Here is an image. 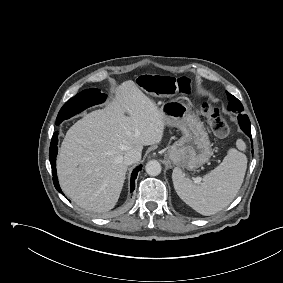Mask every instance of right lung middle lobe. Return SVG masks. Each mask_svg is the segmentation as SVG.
<instances>
[{"instance_id": "obj_1", "label": "right lung middle lobe", "mask_w": 283, "mask_h": 283, "mask_svg": "<svg viewBox=\"0 0 283 283\" xmlns=\"http://www.w3.org/2000/svg\"><path fill=\"white\" fill-rule=\"evenodd\" d=\"M105 99L106 95L100 93V90L96 88L87 89L78 93L61 108L56 119V124L59 125L63 120L74 116L92 105L101 103Z\"/></svg>"}]
</instances>
